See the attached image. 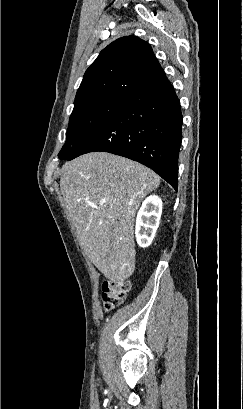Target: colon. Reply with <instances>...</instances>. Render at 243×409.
I'll list each match as a JSON object with an SVG mask.
<instances>
[{"mask_svg":"<svg viewBox=\"0 0 243 409\" xmlns=\"http://www.w3.org/2000/svg\"><path fill=\"white\" fill-rule=\"evenodd\" d=\"M129 290L130 284L127 281L111 280L104 282L102 287V301L105 310L109 311L122 304Z\"/></svg>","mask_w":243,"mask_h":409,"instance_id":"colon-1","label":"colon"}]
</instances>
